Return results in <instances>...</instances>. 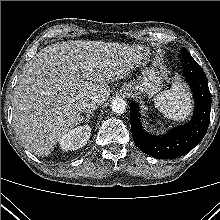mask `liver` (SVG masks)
<instances>
[{
    "label": "liver",
    "instance_id": "obj_1",
    "mask_svg": "<svg viewBox=\"0 0 220 220\" xmlns=\"http://www.w3.org/2000/svg\"><path fill=\"white\" fill-rule=\"evenodd\" d=\"M143 47L71 40L43 48L25 64L13 95V124L26 149L48 156L60 138L82 122V103L104 104L109 82L140 64Z\"/></svg>",
    "mask_w": 220,
    "mask_h": 220
}]
</instances>
